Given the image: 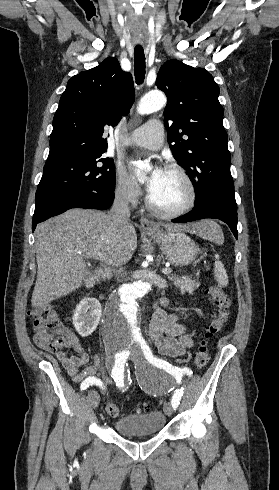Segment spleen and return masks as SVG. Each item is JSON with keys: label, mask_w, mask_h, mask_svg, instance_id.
Listing matches in <instances>:
<instances>
[{"label": "spleen", "mask_w": 279, "mask_h": 490, "mask_svg": "<svg viewBox=\"0 0 279 490\" xmlns=\"http://www.w3.org/2000/svg\"><path fill=\"white\" fill-rule=\"evenodd\" d=\"M203 230H201V236L203 238H206V240H209V242H214V244H223L224 242V236L223 232L216 224V222H211V220H204L202 222ZM216 262L214 264V278L220 286H228V276L226 274V270L222 264V262H219V256H215Z\"/></svg>", "instance_id": "3e777b00"}]
</instances>
